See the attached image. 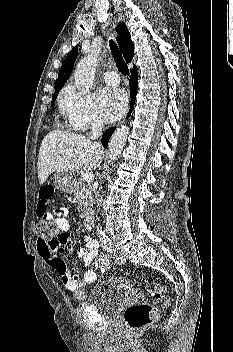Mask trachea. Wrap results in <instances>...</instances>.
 Listing matches in <instances>:
<instances>
[{"mask_svg":"<svg viewBox=\"0 0 233 352\" xmlns=\"http://www.w3.org/2000/svg\"><path fill=\"white\" fill-rule=\"evenodd\" d=\"M110 44V50L113 56V59L116 63V66L118 70L123 74V75H128L129 74V69L121 55V52L117 46V44L113 40H109Z\"/></svg>","mask_w":233,"mask_h":352,"instance_id":"1","label":"trachea"}]
</instances>
